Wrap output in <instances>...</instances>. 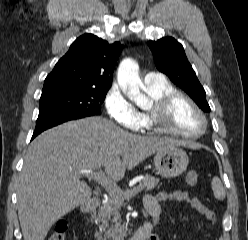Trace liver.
<instances>
[{
	"label": "liver",
	"mask_w": 248,
	"mask_h": 240,
	"mask_svg": "<svg viewBox=\"0 0 248 240\" xmlns=\"http://www.w3.org/2000/svg\"><path fill=\"white\" fill-rule=\"evenodd\" d=\"M182 144L129 133L102 117L70 121L30 144L18 184V216L24 240H44L51 226L90 200L80 170L104 168L121 180L152 154Z\"/></svg>",
	"instance_id": "6515ba94"
}]
</instances>
